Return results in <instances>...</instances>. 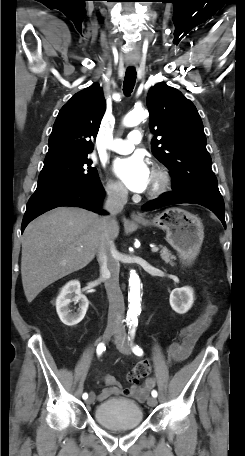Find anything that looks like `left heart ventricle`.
Instances as JSON below:
<instances>
[{
	"label": "left heart ventricle",
	"instance_id": "left-heart-ventricle-1",
	"mask_svg": "<svg viewBox=\"0 0 245 456\" xmlns=\"http://www.w3.org/2000/svg\"><path fill=\"white\" fill-rule=\"evenodd\" d=\"M154 182H155V177H154V175L151 173V175H150V181H149V186L153 185Z\"/></svg>",
	"mask_w": 245,
	"mask_h": 456
}]
</instances>
